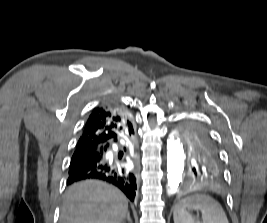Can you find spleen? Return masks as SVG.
Returning a JSON list of instances; mask_svg holds the SVG:
<instances>
[{"instance_id":"obj_1","label":"spleen","mask_w":267,"mask_h":223,"mask_svg":"<svg viewBox=\"0 0 267 223\" xmlns=\"http://www.w3.org/2000/svg\"><path fill=\"white\" fill-rule=\"evenodd\" d=\"M198 209L202 212V223H229L222 206L212 197L204 194L189 196L174 207V223H200L187 211Z\"/></svg>"}]
</instances>
